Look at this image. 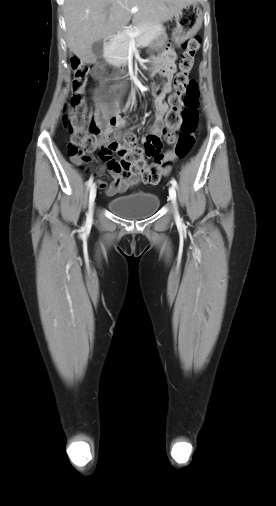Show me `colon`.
I'll return each mask as SVG.
<instances>
[{"label": "colon", "mask_w": 276, "mask_h": 506, "mask_svg": "<svg viewBox=\"0 0 276 506\" xmlns=\"http://www.w3.org/2000/svg\"><path fill=\"white\" fill-rule=\"evenodd\" d=\"M199 37L193 36L185 43V52L179 59V72L173 80L174 93L169 97L170 110L166 113L167 130L165 141L172 149L148 163L146 158L156 155L161 146V138L148 135L143 144L130 132L116 131V122H108L107 115L89 111L81 94L74 95L66 105L63 124L69 134L67 155L71 161L82 166L87 161V153L100 149L103 161L117 153L122 168L139 175L146 184H157L162 176H167L177 160L184 159L195 145L198 128L199 89L195 80L189 77L194 57L199 49ZM69 63L74 72L75 84L83 88L86 83L88 67L80 63V57L70 52ZM98 76L104 74L102 68ZM179 129V133H177Z\"/></svg>", "instance_id": "colon-1"}]
</instances>
